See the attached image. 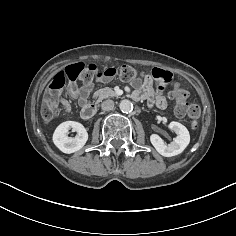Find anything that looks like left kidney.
Returning a JSON list of instances; mask_svg holds the SVG:
<instances>
[{"instance_id":"obj_1","label":"left kidney","mask_w":236,"mask_h":236,"mask_svg":"<svg viewBox=\"0 0 236 236\" xmlns=\"http://www.w3.org/2000/svg\"><path fill=\"white\" fill-rule=\"evenodd\" d=\"M169 128L177 134L169 144L165 143L158 135L152 134L150 141L156 151L165 157H172L184 151L190 142V134L187 128L179 122L172 121Z\"/></svg>"}]
</instances>
